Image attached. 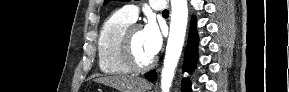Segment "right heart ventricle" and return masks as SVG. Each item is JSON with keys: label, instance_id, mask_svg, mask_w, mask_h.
Wrapping results in <instances>:
<instances>
[{"label": "right heart ventricle", "instance_id": "obj_1", "mask_svg": "<svg viewBox=\"0 0 289 92\" xmlns=\"http://www.w3.org/2000/svg\"><path fill=\"white\" fill-rule=\"evenodd\" d=\"M133 21L121 11L112 13L101 26L98 41V65L107 75H126L132 70L123 62L119 45L125 29Z\"/></svg>", "mask_w": 289, "mask_h": 92}]
</instances>
